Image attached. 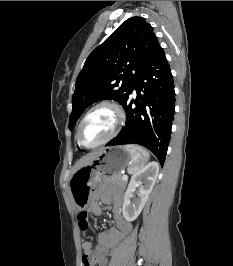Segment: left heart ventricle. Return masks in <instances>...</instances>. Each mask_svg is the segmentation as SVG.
<instances>
[{
  "instance_id": "left-heart-ventricle-1",
  "label": "left heart ventricle",
  "mask_w": 233,
  "mask_h": 266,
  "mask_svg": "<svg viewBox=\"0 0 233 266\" xmlns=\"http://www.w3.org/2000/svg\"><path fill=\"white\" fill-rule=\"evenodd\" d=\"M116 114L110 107L95 110L84 122L81 140L86 145H93L106 138L112 131Z\"/></svg>"
}]
</instances>
